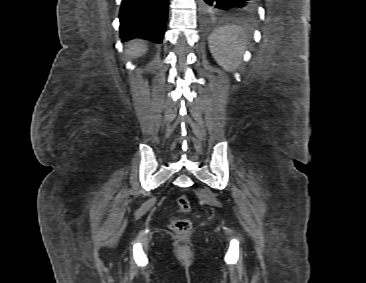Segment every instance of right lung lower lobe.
Returning a JSON list of instances; mask_svg holds the SVG:
<instances>
[{
    "instance_id": "obj_1",
    "label": "right lung lower lobe",
    "mask_w": 366,
    "mask_h": 283,
    "mask_svg": "<svg viewBox=\"0 0 366 283\" xmlns=\"http://www.w3.org/2000/svg\"><path fill=\"white\" fill-rule=\"evenodd\" d=\"M169 0H122L119 12L122 41L143 38L161 43Z\"/></svg>"
}]
</instances>
